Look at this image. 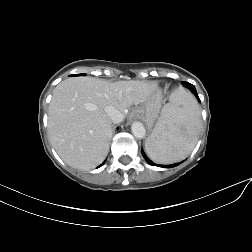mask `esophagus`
Wrapping results in <instances>:
<instances>
[{
	"instance_id": "esophagus-1",
	"label": "esophagus",
	"mask_w": 252,
	"mask_h": 252,
	"mask_svg": "<svg viewBox=\"0 0 252 252\" xmlns=\"http://www.w3.org/2000/svg\"><path fill=\"white\" fill-rule=\"evenodd\" d=\"M133 117H134V113L132 112L131 118L129 119L128 124L131 122V120L133 119Z\"/></svg>"
}]
</instances>
